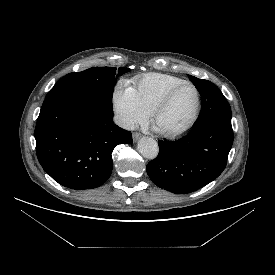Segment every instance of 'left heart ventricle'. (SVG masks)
I'll list each match as a JSON object with an SVG mask.
<instances>
[{
  "label": "left heart ventricle",
  "instance_id": "1",
  "mask_svg": "<svg viewBox=\"0 0 275 275\" xmlns=\"http://www.w3.org/2000/svg\"><path fill=\"white\" fill-rule=\"evenodd\" d=\"M195 106V91L190 86H182L173 94L169 104L156 117V127L161 131H174L183 127L191 119Z\"/></svg>",
  "mask_w": 275,
  "mask_h": 275
}]
</instances>
